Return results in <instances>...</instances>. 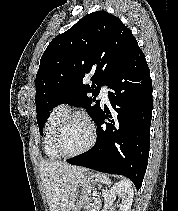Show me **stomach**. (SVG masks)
Masks as SVG:
<instances>
[{"mask_svg":"<svg viewBox=\"0 0 178 211\" xmlns=\"http://www.w3.org/2000/svg\"><path fill=\"white\" fill-rule=\"evenodd\" d=\"M92 175L91 173L81 174L76 178L71 187L65 211H80L86 205V201L91 196L96 184Z\"/></svg>","mask_w":178,"mask_h":211,"instance_id":"stomach-1","label":"stomach"}]
</instances>
